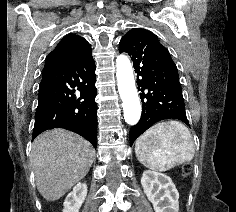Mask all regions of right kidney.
Here are the masks:
<instances>
[{
  "label": "right kidney",
  "instance_id": "right-kidney-1",
  "mask_svg": "<svg viewBox=\"0 0 236 212\" xmlns=\"http://www.w3.org/2000/svg\"><path fill=\"white\" fill-rule=\"evenodd\" d=\"M87 195V185L86 183H78L71 191L63 205V212H79L85 198Z\"/></svg>",
  "mask_w": 236,
  "mask_h": 212
}]
</instances>
